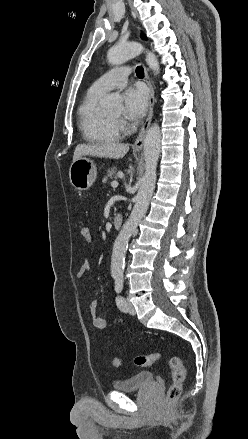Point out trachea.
<instances>
[{
    "mask_svg": "<svg viewBox=\"0 0 248 439\" xmlns=\"http://www.w3.org/2000/svg\"><path fill=\"white\" fill-rule=\"evenodd\" d=\"M136 75H137L138 77H144V69H143L142 66H138V67L136 68Z\"/></svg>",
    "mask_w": 248,
    "mask_h": 439,
    "instance_id": "3493384b",
    "label": "trachea"
}]
</instances>
